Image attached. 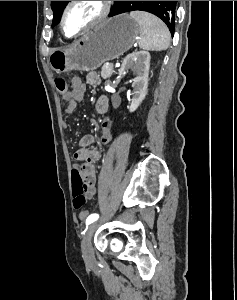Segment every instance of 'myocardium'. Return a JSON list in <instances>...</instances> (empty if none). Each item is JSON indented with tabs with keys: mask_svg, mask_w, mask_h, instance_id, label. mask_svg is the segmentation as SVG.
<instances>
[{
	"mask_svg": "<svg viewBox=\"0 0 237 300\" xmlns=\"http://www.w3.org/2000/svg\"><path fill=\"white\" fill-rule=\"evenodd\" d=\"M78 2L79 1H68L62 10V14H61V18H60V29H61L62 34L66 38H70V39L78 38L79 36L85 34L89 30L97 27L98 25L103 23L108 18V16L110 15V12H111V8H112V1H98L99 5H100V10H99V13L97 14V16L94 17L88 24H86L78 33H76L74 35H68L65 31L66 18H67V15H68L70 9Z\"/></svg>",
	"mask_w": 237,
	"mask_h": 300,
	"instance_id": "f54148a6",
	"label": "myocardium"
}]
</instances>
